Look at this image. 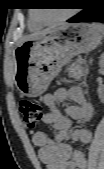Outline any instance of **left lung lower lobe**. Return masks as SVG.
Wrapping results in <instances>:
<instances>
[{
  "instance_id": "1",
  "label": "left lung lower lobe",
  "mask_w": 104,
  "mask_h": 169,
  "mask_svg": "<svg viewBox=\"0 0 104 169\" xmlns=\"http://www.w3.org/2000/svg\"><path fill=\"white\" fill-rule=\"evenodd\" d=\"M104 3L101 0H85L83 11L74 18L68 20L70 23L78 22H104Z\"/></svg>"
}]
</instances>
